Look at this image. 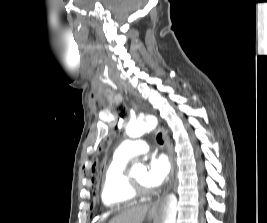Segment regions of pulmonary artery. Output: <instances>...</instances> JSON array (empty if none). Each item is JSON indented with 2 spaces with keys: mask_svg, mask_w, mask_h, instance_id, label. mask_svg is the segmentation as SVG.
<instances>
[{
  "mask_svg": "<svg viewBox=\"0 0 267 223\" xmlns=\"http://www.w3.org/2000/svg\"><path fill=\"white\" fill-rule=\"evenodd\" d=\"M149 150L146 142L138 140H126L116 149V154L122 158H132Z\"/></svg>",
  "mask_w": 267,
  "mask_h": 223,
  "instance_id": "obj_1",
  "label": "pulmonary artery"
}]
</instances>
